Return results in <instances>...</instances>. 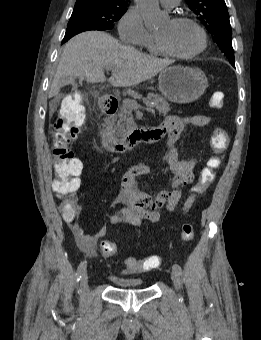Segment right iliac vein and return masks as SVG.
<instances>
[{
    "mask_svg": "<svg viewBox=\"0 0 261 340\" xmlns=\"http://www.w3.org/2000/svg\"><path fill=\"white\" fill-rule=\"evenodd\" d=\"M81 292H82V295L85 298L88 296L89 286H88V274H87V272H84V274L82 275V279H81Z\"/></svg>",
    "mask_w": 261,
    "mask_h": 340,
    "instance_id": "obj_1",
    "label": "right iliac vein"
}]
</instances>
